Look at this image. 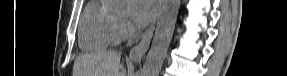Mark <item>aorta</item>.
Wrapping results in <instances>:
<instances>
[{"instance_id":"1","label":"aorta","mask_w":287,"mask_h":76,"mask_svg":"<svg viewBox=\"0 0 287 76\" xmlns=\"http://www.w3.org/2000/svg\"><path fill=\"white\" fill-rule=\"evenodd\" d=\"M180 0H162L153 41L141 76H158L170 45Z\"/></svg>"}]
</instances>
